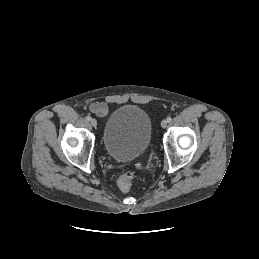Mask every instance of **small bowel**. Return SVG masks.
I'll return each mask as SVG.
<instances>
[{
	"mask_svg": "<svg viewBox=\"0 0 259 259\" xmlns=\"http://www.w3.org/2000/svg\"><path fill=\"white\" fill-rule=\"evenodd\" d=\"M92 112L100 117H103L108 112V105L105 102H96L90 106Z\"/></svg>",
	"mask_w": 259,
	"mask_h": 259,
	"instance_id": "obj_1",
	"label": "small bowel"
}]
</instances>
